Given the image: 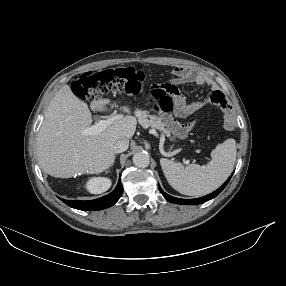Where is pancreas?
I'll return each instance as SVG.
<instances>
[{
    "instance_id": "pancreas-1",
    "label": "pancreas",
    "mask_w": 286,
    "mask_h": 286,
    "mask_svg": "<svg viewBox=\"0 0 286 286\" xmlns=\"http://www.w3.org/2000/svg\"><path fill=\"white\" fill-rule=\"evenodd\" d=\"M135 114L136 117L138 118L139 124L142 127L144 128L152 127L158 129L166 136H170L169 130L165 128V124L161 118L149 115V112L141 110H137Z\"/></svg>"
}]
</instances>
